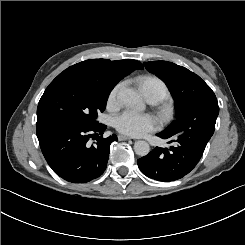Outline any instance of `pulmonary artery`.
Returning a JSON list of instances; mask_svg holds the SVG:
<instances>
[{
	"mask_svg": "<svg viewBox=\"0 0 245 245\" xmlns=\"http://www.w3.org/2000/svg\"><path fill=\"white\" fill-rule=\"evenodd\" d=\"M144 94H145V96H146V98H147V100L149 102H156L157 101V97L156 96H154L152 94H149V93H144Z\"/></svg>",
	"mask_w": 245,
	"mask_h": 245,
	"instance_id": "e3ab8cb5",
	"label": "pulmonary artery"
}]
</instances>
